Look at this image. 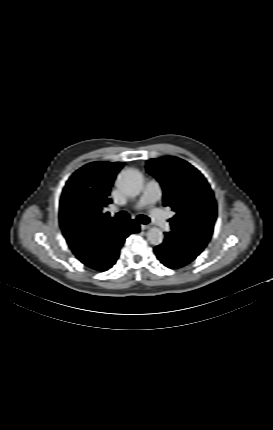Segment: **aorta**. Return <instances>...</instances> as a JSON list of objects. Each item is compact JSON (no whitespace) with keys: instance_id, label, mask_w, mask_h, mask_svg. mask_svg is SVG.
<instances>
[{"instance_id":"aorta-1","label":"aorta","mask_w":273,"mask_h":430,"mask_svg":"<svg viewBox=\"0 0 273 430\" xmlns=\"http://www.w3.org/2000/svg\"><path fill=\"white\" fill-rule=\"evenodd\" d=\"M117 188L129 197L137 196L143 187V177L136 169L123 170L116 180ZM163 233L159 228L153 227L147 232V240L152 245H160L163 242Z\"/></svg>"}]
</instances>
